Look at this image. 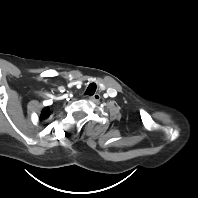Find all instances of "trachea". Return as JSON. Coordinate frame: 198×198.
I'll return each instance as SVG.
<instances>
[{
	"label": "trachea",
	"instance_id": "3493384b",
	"mask_svg": "<svg viewBox=\"0 0 198 198\" xmlns=\"http://www.w3.org/2000/svg\"><path fill=\"white\" fill-rule=\"evenodd\" d=\"M96 84L95 83H91L89 84L88 88L86 89L85 95H90L92 96L95 91H96Z\"/></svg>",
	"mask_w": 198,
	"mask_h": 198
}]
</instances>
